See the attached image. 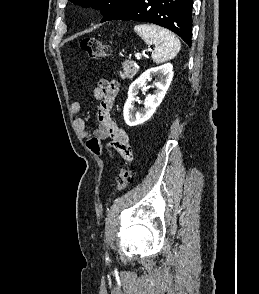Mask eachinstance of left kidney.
I'll return each mask as SVG.
<instances>
[{"mask_svg": "<svg viewBox=\"0 0 259 294\" xmlns=\"http://www.w3.org/2000/svg\"><path fill=\"white\" fill-rule=\"evenodd\" d=\"M158 75L159 81L155 83L156 91L153 95H148L144 102V108L135 111L134 102L140 88L146 85V81L152 76ZM173 78V66L171 63L150 68L140 75L129 87L128 99L124 105L123 115L128 126H136L149 120L156 108L161 104L167 89Z\"/></svg>", "mask_w": 259, "mask_h": 294, "instance_id": "left-kidney-1", "label": "left kidney"}]
</instances>
